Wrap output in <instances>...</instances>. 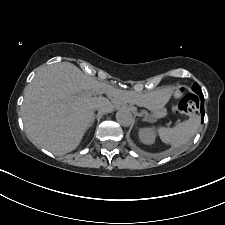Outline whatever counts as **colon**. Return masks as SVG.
<instances>
[{
    "instance_id": "1",
    "label": "colon",
    "mask_w": 225,
    "mask_h": 225,
    "mask_svg": "<svg viewBox=\"0 0 225 225\" xmlns=\"http://www.w3.org/2000/svg\"><path fill=\"white\" fill-rule=\"evenodd\" d=\"M176 99L174 110L184 115H194L199 111V99L195 95L185 94L183 86H176L173 90Z\"/></svg>"
}]
</instances>
